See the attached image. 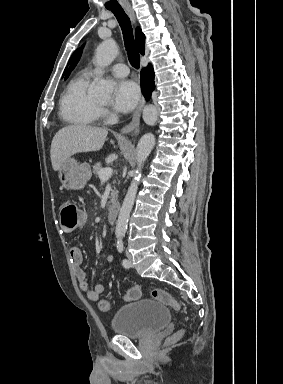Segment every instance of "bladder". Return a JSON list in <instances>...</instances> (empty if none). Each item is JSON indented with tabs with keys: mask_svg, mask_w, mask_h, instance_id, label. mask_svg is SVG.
Returning a JSON list of instances; mask_svg holds the SVG:
<instances>
[{
	"mask_svg": "<svg viewBox=\"0 0 283 384\" xmlns=\"http://www.w3.org/2000/svg\"><path fill=\"white\" fill-rule=\"evenodd\" d=\"M169 320V311L163 303L142 298L118 308L111 327L116 335L143 338L164 328Z\"/></svg>",
	"mask_w": 283,
	"mask_h": 384,
	"instance_id": "31cf9c89",
	"label": "bladder"
}]
</instances>
